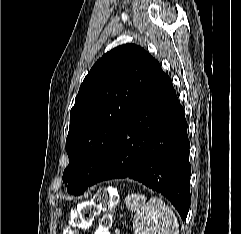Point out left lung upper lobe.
<instances>
[{
    "mask_svg": "<svg viewBox=\"0 0 241 234\" xmlns=\"http://www.w3.org/2000/svg\"><path fill=\"white\" fill-rule=\"evenodd\" d=\"M160 67L143 48L119 46L100 58L82 82L70 111L66 139L67 191L81 195L114 141L123 121Z\"/></svg>",
    "mask_w": 241,
    "mask_h": 234,
    "instance_id": "1",
    "label": "left lung upper lobe"
}]
</instances>
